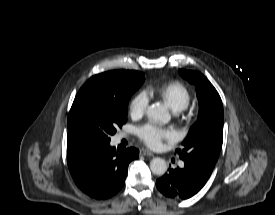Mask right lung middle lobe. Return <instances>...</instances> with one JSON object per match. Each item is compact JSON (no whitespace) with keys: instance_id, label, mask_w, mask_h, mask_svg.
<instances>
[{"instance_id":"1","label":"right lung middle lobe","mask_w":275,"mask_h":215,"mask_svg":"<svg viewBox=\"0 0 275 215\" xmlns=\"http://www.w3.org/2000/svg\"><path fill=\"white\" fill-rule=\"evenodd\" d=\"M143 82L144 74L137 71L116 77L106 73L92 76L70 109L67 146L110 142L109 136L126 123L128 101Z\"/></svg>"}]
</instances>
